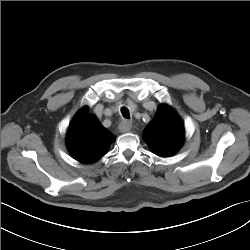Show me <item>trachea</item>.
<instances>
[{"instance_id": "trachea-1", "label": "trachea", "mask_w": 250, "mask_h": 250, "mask_svg": "<svg viewBox=\"0 0 250 250\" xmlns=\"http://www.w3.org/2000/svg\"><path fill=\"white\" fill-rule=\"evenodd\" d=\"M121 113H122L124 118L130 119V113L126 107L121 108Z\"/></svg>"}]
</instances>
